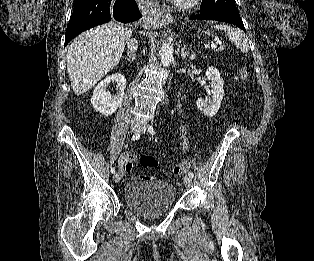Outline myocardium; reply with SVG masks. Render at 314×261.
<instances>
[{
	"label": "myocardium",
	"mask_w": 314,
	"mask_h": 261,
	"mask_svg": "<svg viewBox=\"0 0 314 261\" xmlns=\"http://www.w3.org/2000/svg\"><path fill=\"white\" fill-rule=\"evenodd\" d=\"M176 6L181 9H192L195 8L201 0H174Z\"/></svg>",
	"instance_id": "obj_1"
}]
</instances>
